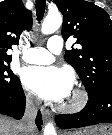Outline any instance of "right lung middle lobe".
Instances as JSON below:
<instances>
[{"mask_svg":"<svg viewBox=\"0 0 112 135\" xmlns=\"http://www.w3.org/2000/svg\"><path fill=\"white\" fill-rule=\"evenodd\" d=\"M9 66L10 61H0V95L12 94L21 87L20 80Z\"/></svg>","mask_w":112,"mask_h":135,"instance_id":"dd1d6c3e","label":"right lung middle lobe"}]
</instances>
